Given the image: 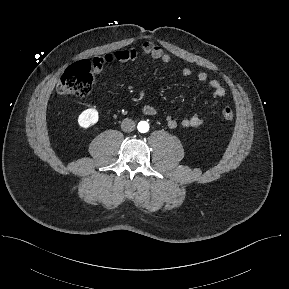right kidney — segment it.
Here are the masks:
<instances>
[{
    "mask_svg": "<svg viewBox=\"0 0 289 289\" xmlns=\"http://www.w3.org/2000/svg\"><path fill=\"white\" fill-rule=\"evenodd\" d=\"M98 111L94 108L84 110L78 117V124L82 128H89L98 122Z\"/></svg>",
    "mask_w": 289,
    "mask_h": 289,
    "instance_id": "1",
    "label": "right kidney"
}]
</instances>
